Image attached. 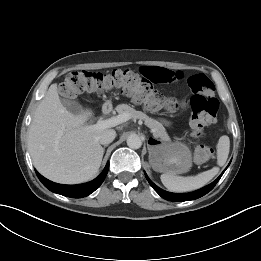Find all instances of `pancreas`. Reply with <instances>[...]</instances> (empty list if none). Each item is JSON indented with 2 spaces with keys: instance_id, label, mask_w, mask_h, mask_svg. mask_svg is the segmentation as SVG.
<instances>
[{
  "instance_id": "obj_1",
  "label": "pancreas",
  "mask_w": 261,
  "mask_h": 261,
  "mask_svg": "<svg viewBox=\"0 0 261 261\" xmlns=\"http://www.w3.org/2000/svg\"><path fill=\"white\" fill-rule=\"evenodd\" d=\"M116 111L119 114L124 113V112L129 113L131 119H141V120H143L145 125L148 126L152 130L153 134L156 137H160L163 140L168 139V135H167L163 125L161 123H159L158 121H156L155 119L148 117L143 112L136 111L134 108L130 107L127 104L118 105L116 107Z\"/></svg>"
}]
</instances>
